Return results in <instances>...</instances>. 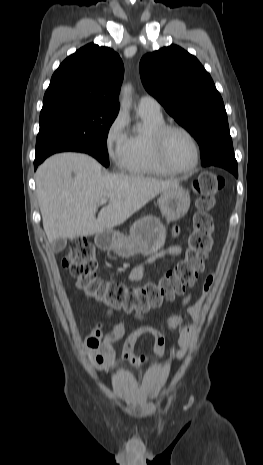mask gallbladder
Listing matches in <instances>:
<instances>
[{"label": "gallbladder", "mask_w": 263, "mask_h": 465, "mask_svg": "<svg viewBox=\"0 0 263 465\" xmlns=\"http://www.w3.org/2000/svg\"><path fill=\"white\" fill-rule=\"evenodd\" d=\"M66 244H67V241H66L65 238L55 239L52 242V250L55 253H59V252H61V251H63L65 249Z\"/></svg>", "instance_id": "gallbladder-1"}]
</instances>
